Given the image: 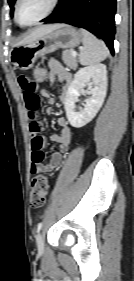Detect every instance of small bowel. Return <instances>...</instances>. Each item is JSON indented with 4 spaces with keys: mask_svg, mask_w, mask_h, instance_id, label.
I'll return each mask as SVG.
<instances>
[{
    "mask_svg": "<svg viewBox=\"0 0 134 281\" xmlns=\"http://www.w3.org/2000/svg\"><path fill=\"white\" fill-rule=\"evenodd\" d=\"M49 72L47 80L55 82L59 80L63 84L62 92L60 94V101L65 103L67 100V91L71 82V74L55 59H51L48 63ZM19 88L23 92L24 103L30 119V132L32 134L31 148H32V163L31 172L33 174L48 173L59 167L63 161V155L67 153L69 145L73 138V131L69 123L63 117L58 119L60 133L51 134L49 139L58 144L59 150L55 151L47 163H43L45 147V137L41 134L43 131V123L40 120L39 105L40 95L47 99L50 105L55 103V99L46 89L37 93L38 83L34 77L28 74H21L17 78Z\"/></svg>",
    "mask_w": 134,
    "mask_h": 281,
    "instance_id": "c3829d8e",
    "label": "small bowel"
}]
</instances>
